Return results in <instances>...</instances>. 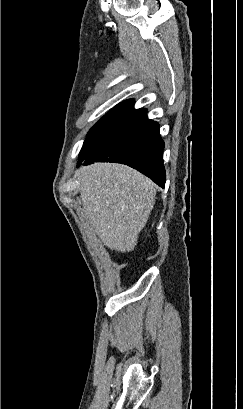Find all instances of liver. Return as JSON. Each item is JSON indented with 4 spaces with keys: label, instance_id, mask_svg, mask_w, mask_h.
<instances>
[{
    "label": "liver",
    "instance_id": "1",
    "mask_svg": "<svg viewBox=\"0 0 243 409\" xmlns=\"http://www.w3.org/2000/svg\"><path fill=\"white\" fill-rule=\"evenodd\" d=\"M75 177L83 211L103 244L118 252L132 251L156 196V185L122 164L94 163Z\"/></svg>",
    "mask_w": 243,
    "mask_h": 409
}]
</instances>
